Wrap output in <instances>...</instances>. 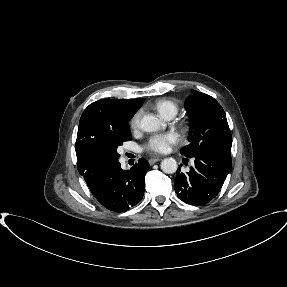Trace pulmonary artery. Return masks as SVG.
<instances>
[{"mask_svg": "<svg viewBox=\"0 0 287 287\" xmlns=\"http://www.w3.org/2000/svg\"><path fill=\"white\" fill-rule=\"evenodd\" d=\"M173 116L172 115H169L166 117V119H171Z\"/></svg>", "mask_w": 287, "mask_h": 287, "instance_id": "obj_1", "label": "pulmonary artery"}]
</instances>
